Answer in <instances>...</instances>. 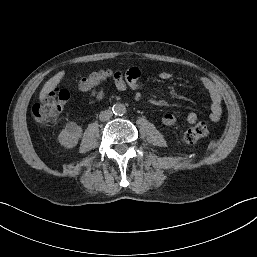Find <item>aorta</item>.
<instances>
[{
	"label": "aorta",
	"instance_id": "1",
	"mask_svg": "<svg viewBox=\"0 0 257 257\" xmlns=\"http://www.w3.org/2000/svg\"><path fill=\"white\" fill-rule=\"evenodd\" d=\"M112 111H113V113H114L115 115L121 116V115L125 114V112H126V107H125V105L122 104V103H116V104L113 105Z\"/></svg>",
	"mask_w": 257,
	"mask_h": 257
}]
</instances>
